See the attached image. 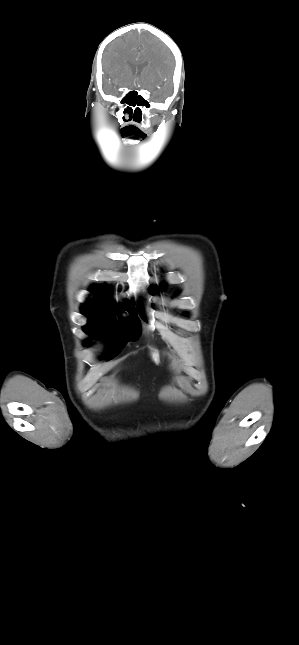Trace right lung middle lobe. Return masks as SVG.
<instances>
[{
  "label": "right lung middle lobe",
  "mask_w": 299,
  "mask_h": 645,
  "mask_svg": "<svg viewBox=\"0 0 299 645\" xmlns=\"http://www.w3.org/2000/svg\"><path fill=\"white\" fill-rule=\"evenodd\" d=\"M93 323L83 327L85 333L93 336L104 338L108 340L110 348L107 352L112 356H117L121 349L124 348L126 340L122 335H118L117 331L121 330L122 324L114 321L108 313H84ZM141 328L137 320H135L134 329L126 332L127 339L136 341L140 336Z\"/></svg>",
  "instance_id": "obj_1"
}]
</instances>
